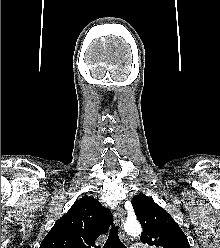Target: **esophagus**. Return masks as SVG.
<instances>
[{
    "label": "esophagus",
    "mask_w": 220,
    "mask_h": 248,
    "mask_svg": "<svg viewBox=\"0 0 220 248\" xmlns=\"http://www.w3.org/2000/svg\"><path fill=\"white\" fill-rule=\"evenodd\" d=\"M124 220H125V211L121 207H118L114 211V221L116 225L119 227L122 237L125 236L124 231H123Z\"/></svg>",
    "instance_id": "obj_1"
}]
</instances>
